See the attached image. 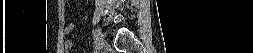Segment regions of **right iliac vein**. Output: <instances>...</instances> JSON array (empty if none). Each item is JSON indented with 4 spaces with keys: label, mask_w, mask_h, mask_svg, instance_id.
<instances>
[{
    "label": "right iliac vein",
    "mask_w": 253,
    "mask_h": 53,
    "mask_svg": "<svg viewBox=\"0 0 253 53\" xmlns=\"http://www.w3.org/2000/svg\"><path fill=\"white\" fill-rule=\"evenodd\" d=\"M96 37H97L99 48H101V49L104 48L106 46V41H105L104 36L101 33L100 29H98L96 31Z\"/></svg>",
    "instance_id": "63e3f726"
}]
</instances>
